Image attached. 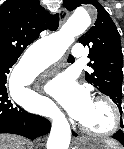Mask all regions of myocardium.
<instances>
[{
	"label": "myocardium",
	"instance_id": "myocardium-1",
	"mask_svg": "<svg viewBox=\"0 0 124 149\" xmlns=\"http://www.w3.org/2000/svg\"><path fill=\"white\" fill-rule=\"evenodd\" d=\"M94 101L103 102L109 106V108L111 110V114H112V126L110 127V129H108L105 132H96V131L86 127L84 124H82L79 121V123H78L79 128L84 133H86L92 137H96V138H107V137L114 135L118 131V129L121 125L122 116H121V111H120L119 107L110 97L105 96V95L96 96L94 98Z\"/></svg>",
	"mask_w": 124,
	"mask_h": 149
}]
</instances>
